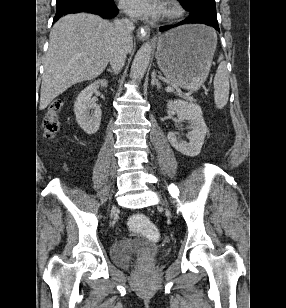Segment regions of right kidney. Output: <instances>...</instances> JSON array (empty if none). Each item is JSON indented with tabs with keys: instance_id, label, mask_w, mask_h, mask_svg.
I'll list each match as a JSON object with an SVG mask.
<instances>
[{
	"instance_id": "1",
	"label": "right kidney",
	"mask_w": 286,
	"mask_h": 308,
	"mask_svg": "<svg viewBox=\"0 0 286 308\" xmlns=\"http://www.w3.org/2000/svg\"><path fill=\"white\" fill-rule=\"evenodd\" d=\"M106 80H99L88 85L83 89L74 103V113L78 125L84 130L85 133L91 135L98 131L101 123V109L92 100V95L97 88L107 87ZM91 111V114H90Z\"/></svg>"
}]
</instances>
